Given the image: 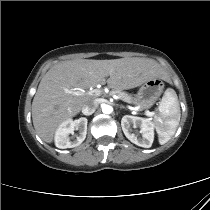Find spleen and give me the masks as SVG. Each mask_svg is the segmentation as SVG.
I'll use <instances>...</instances> for the list:
<instances>
[{"mask_svg": "<svg viewBox=\"0 0 210 210\" xmlns=\"http://www.w3.org/2000/svg\"><path fill=\"white\" fill-rule=\"evenodd\" d=\"M180 116L177 94L169 88L159 104V114L154 116V125L161 145L167 143L175 134Z\"/></svg>", "mask_w": 210, "mask_h": 210, "instance_id": "obj_1", "label": "spleen"}]
</instances>
